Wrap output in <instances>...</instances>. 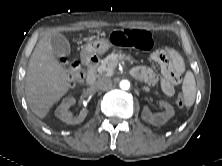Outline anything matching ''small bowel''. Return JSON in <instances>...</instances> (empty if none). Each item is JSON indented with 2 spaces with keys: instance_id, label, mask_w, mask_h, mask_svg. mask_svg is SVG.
Wrapping results in <instances>:
<instances>
[{
  "instance_id": "c3829d8e",
  "label": "small bowel",
  "mask_w": 222,
  "mask_h": 166,
  "mask_svg": "<svg viewBox=\"0 0 222 166\" xmlns=\"http://www.w3.org/2000/svg\"><path fill=\"white\" fill-rule=\"evenodd\" d=\"M150 58L160 66L163 76L161 81L162 91L167 96H172L175 93V86L180 84L182 74L185 71L183 58L173 48H159L151 53ZM132 73L138 80L149 85L157 83L156 74L147 67H136Z\"/></svg>"
}]
</instances>
